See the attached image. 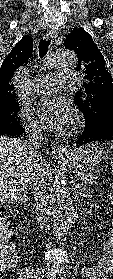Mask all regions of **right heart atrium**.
<instances>
[{
    "instance_id": "1",
    "label": "right heart atrium",
    "mask_w": 113,
    "mask_h": 279,
    "mask_svg": "<svg viewBox=\"0 0 113 279\" xmlns=\"http://www.w3.org/2000/svg\"><path fill=\"white\" fill-rule=\"evenodd\" d=\"M22 118H23V121L25 123L28 133H30L32 135L40 133L41 129H40L38 123L33 118L31 112H29L28 110H24L22 112Z\"/></svg>"
}]
</instances>
